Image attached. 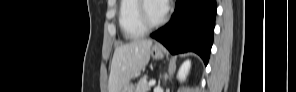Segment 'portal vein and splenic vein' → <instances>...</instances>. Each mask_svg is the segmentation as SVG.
Wrapping results in <instances>:
<instances>
[{"instance_id": "portal-vein-and-splenic-vein-1", "label": "portal vein and splenic vein", "mask_w": 296, "mask_h": 92, "mask_svg": "<svg viewBox=\"0 0 296 92\" xmlns=\"http://www.w3.org/2000/svg\"><path fill=\"white\" fill-rule=\"evenodd\" d=\"M156 81L154 79H152L150 82H149V86H153L155 85Z\"/></svg>"}]
</instances>
